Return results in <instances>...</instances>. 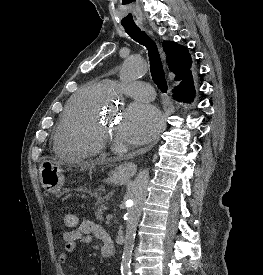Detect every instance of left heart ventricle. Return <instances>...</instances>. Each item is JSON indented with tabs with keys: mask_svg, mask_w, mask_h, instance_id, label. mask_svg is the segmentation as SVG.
<instances>
[{
	"mask_svg": "<svg viewBox=\"0 0 263 275\" xmlns=\"http://www.w3.org/2000/svg\"><path fill=\"white\" fill-rule=\"evenodd\" d=\"M113 119L114 118L112 117H108L104 120L106 127L112 132H114V129H115V123L113 122L114 121Z\"/></svg>",
	"mask_w": 263,
	"mask_h": 275,
	"instance_id": "obj_1",
	"label": "left heart ventricle"
}]
</instances>
